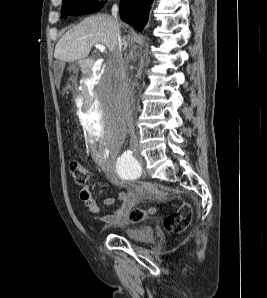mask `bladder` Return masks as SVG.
<instances>
[{
	"label": "bladder",
	"instance_id": "1",
	"mask_svg": "<svg viewBox=\"0 0 267 298\" xmlns=\"http://www.w3.org/2000/svg\"><path fill=\"white\" fill-rule=\"evenodd\" d=\"M122 235L134 241L149 242L154 238L153 230L150 226H141L138 228H125Z\"/></svg>",
	"mask_w": 267,
	"mask_h": 298
}]
</instances>
